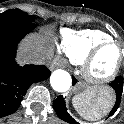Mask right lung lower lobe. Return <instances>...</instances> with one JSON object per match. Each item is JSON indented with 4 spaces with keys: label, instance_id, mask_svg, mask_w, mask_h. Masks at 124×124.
I'll return each mask as SVG.
<instances>
[{
    "label": "right lung lower lobe",
    "instance_id": "98d812e1",
    "mask_svg": "<svg viewBox=\"0 0 124 124\" xmlns=\"http://www.w3.org/2000/svg\"><path fill=\"white\" fill-rule=\"evenodd\" d=\"M36 24H0V118L14 113L31 84L49 78L43 65L19 66L15 62L17 45Z\"/></svg>",
    "mask_w": 124,
    "mask_h": 124
}]
</instances>
